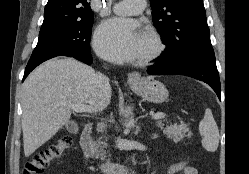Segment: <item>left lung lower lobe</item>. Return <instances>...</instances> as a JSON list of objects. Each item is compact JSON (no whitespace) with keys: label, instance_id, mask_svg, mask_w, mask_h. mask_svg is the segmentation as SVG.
Listing matches in <instances>:
<instances>
[{"label":"left lung lower lobe","instance_id":"left-lung-lower-lobe-1","mask_svg":"<svg viewBox=\"0 0 249 174\" xmlns=\"http://www.w3.org/2000/svg\"><path fill=\"white\" fill-rule=\"evenodd\" d=\"M151 75H185L210 85L221 99L220 79L214 53L192 56L175 63H166L161 58L155 66L147 69Z\"/></svg>","mask_w":249,"mask_h":174}]
</instances>
